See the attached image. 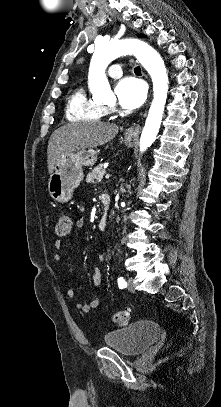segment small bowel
<instances>
[{
	"instance_id": "c3829d8e",
	"label": "small bowel",
	"mask_w": 221,
	"mask_h": 407,
	"mask_svg": "<svg viewBox=\"0 0 221 407\" xmlns=\"http://www.w3.org/2000/svg\"><path fill=\"white\" fill-rule=\"evenodd\" d=\"M104 195H105V194H102L101 198H102ZM84 211H85V206L82 205V206L80 207V212L83 214ZM85 224H86L85 218H84L83 215H81V216L77 219V221H76V228L81 229V228H83V227L85 226ZM54 247H55V249H56L57 251H60V250H61V247H62V242H61L60 240H56V241H55V244H54ZM55 258H56L57 260H59V259H60V254H59V253L56 254V255H55ZM102 278H103V271H102V269L99 268V267L94 268L93 274H92V283H93L94 287H95L97 290H100V289H101V286H102ZM66 295H67L68 298H71V299H72V298L75 297V291H74L73 289H68V290L66 291ZM99 302H100L99 296H96L94 299H92L91 301L86 302V303H83V302H80V301L76 302V308H77L79 311H82V312H84V313H88V312L94 310L95 308H97V306L99 305Z\"/></svg>"
}]
</instances>
